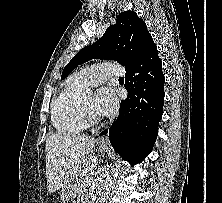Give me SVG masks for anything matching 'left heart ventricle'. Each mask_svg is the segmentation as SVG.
I'll use <instances>...</instances> for the list:
<instances>
[{"label": "left heart ventricle", "mask_w": 222, "mask_h": 203, "mask_svg": "<svg viewBox=\"0 0 222 203\" xmlns=\"http://www.w3.org/2000/svg\"><path fill=\"white\" fill-rule=\"evenodd\" d=\"M94 101H95V97L93 95H88V96L84 97V102H85V105L88 108V110L92 114L98 116V114L96 113L95 108H94Z\"/></svg>", "instance_id": "b2bd125f"}]
</instances>
